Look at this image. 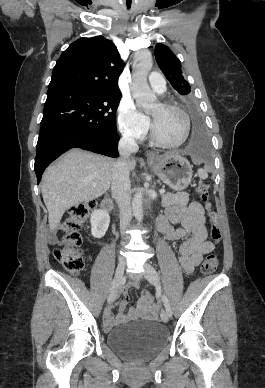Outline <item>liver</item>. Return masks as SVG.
Segmentation results:
<instances>
[{
	"mask_svg": "<svg viewBox=\"0 0 265 388\" xmlns=\"http://www.w3.org/2000/svg\"><path fill=\"white\" fill-rule=\"evenodd\" d=\"M114 164L112 158L73 148L48 166L42 176L41 192L50 232H55L65 210L80 202H91L109 190ZM128 164L132 172L136 166L133 156L128 158Z\"/></svg>",
	"mask_w": 265,
	"mask_h": 388,
	"instance_id": "obj_1",
	"label": "liver"
}]
</instances>
